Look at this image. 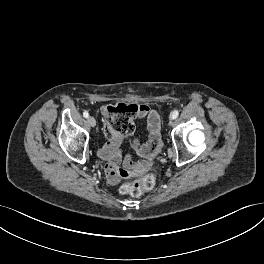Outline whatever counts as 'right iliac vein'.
Returning a JSON list of instances; mask_svg holds the SVG:
<instances>
[{
	"mask_svg": "<svg viewBox=\"0 0 264 264\" xmlns=\"http://www.w3.org/2000/svg\"><path fill=\"white\" fill-rule=\"evenodd\" d=\"M87 121H88V123L90 124V126L95 127V125H96V120H95L94 117H92V116L88 117V118H87Z\"/></svg>",
	"mask_w": 264,
	"mask_h": 264,
	"instance_id": "obj_1",
	"label": "right iliac vein"
}]
</instances>
